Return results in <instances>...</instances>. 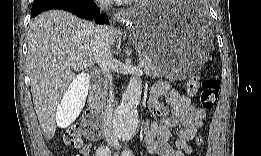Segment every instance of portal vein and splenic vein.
<instances>
[{
    "label": "portal vein and splenic vein",
    "mask_w": 261,
    "mask_h": 156,
    "mask_svg": "<svg viewBox=\"0 0 261 156\" xmlns=\"http://www.w3.org/2000/svg\"><path fill=\"white\" fill-rule=\"evenodd\" d=\"M145 66V62L143 60H140L139 62V67H144ZM69 67H76L75 64H70Z\"/></svg>",
    "instance_id": "portal-vein-and-splenic-vein-1"
}]
</instances>
